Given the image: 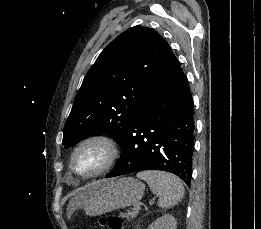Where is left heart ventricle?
<instances>
[{
  "mask_svg": "<svg viewBox=\"0 0 261 229\" xmlns=\"http://www.w3.org/2000/svg\"><path fill=\"white\" fill-rule=\"evenodd\" d=\"M104 161V150L98 145H90L78 152L75 158V166L83 172H93L97 170Z\"/></svg>",
  "mask_w": 261,
  "mask_h": 229,
  "instance_id": "1",
  "label": "left heart ventricle"
}]
</instances>
